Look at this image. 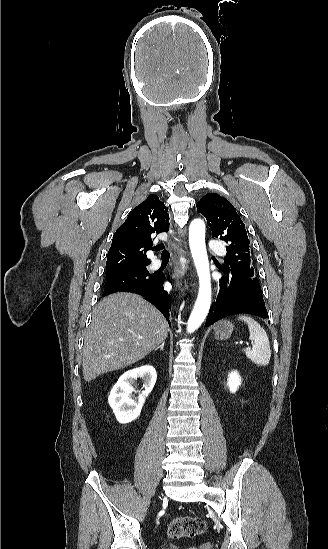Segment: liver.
<instances>
[{"instance_id":"liver-1","label":"liver","mask_w":328,"mask_h":549,"mask_svg":"<svg viewBox=\"0 0 328 549\" xmlns=\"http://www.w3.org/2000/svg\"><path fill=\"white\" fill-rule=\"evenodd\" d=\"M169 331L162 313L133 293H114L92 311L84 337L82 373L90 383L98 375L137 363L163 343Z\"/></svg>"}]
</instances>
